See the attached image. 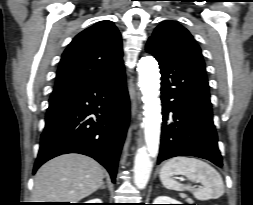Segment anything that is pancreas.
<instances>
[{
	"instance_id": "obj_1",
	"label": "pancreas",
	"mask_w": 253,
	"mask_h": 205,
	"mask_svg": "<svg viewBox=\"0 0 253 205\" xmlns=\"http://www.w3.org/2000/svg\"><path fill=\"white\" fill-rule=\"evenodd\" d=\"M180 196H181L182 198H186V197H187V195H186V194H183V193H181ZM187 201H191V199H190V198H187Z\"/></svg>"
}]
</instances>
